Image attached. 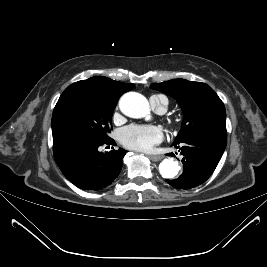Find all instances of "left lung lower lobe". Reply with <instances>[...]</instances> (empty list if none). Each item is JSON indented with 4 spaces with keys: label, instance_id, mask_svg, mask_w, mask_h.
Listing matches in <instances>:
<instances>
[{
    "label": "left lung lower lobe",
    "instance_id": "left-lung-lower-lobe-1",
    "mask_svg": "<svg viewBox=\"0 0 267 267\" xmlns=\"http://www.w3.org/2000/svg\"><path fill=\"white\" fill-rule=\"evenodd\" d=\"M226 143L227 136L219 134H204L174 143L183 155V173L177 179L166 181L177 189H190L204 183L220 161Z\"/></svg>",
    "mask_w": 267,
    "mask_h": 267
}]
</instances>
